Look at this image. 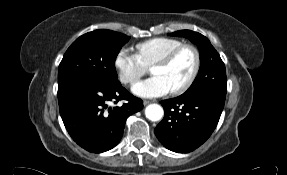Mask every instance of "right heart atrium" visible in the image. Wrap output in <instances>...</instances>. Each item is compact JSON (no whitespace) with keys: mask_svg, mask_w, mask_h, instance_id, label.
Returning a JSON list of instances; mask_svg holds the SVG:
<instances>
[{"mask_svg":"<svg viewBox=\"0 0 287 175\" xmlns=\"http://www.w3.org/2000/svg\"><path fill=\"white\" fill-rule=\"evenodd\" d=\"M114 64L120 81L128 85L137 82L148 71V66L144 64L140 56L125 47L118 51Z\"/></svg>","mask_w":287,"mask_h":175,"instance_id":"right-heart-atrium-1","label":"right heart atrium"}]
</instances>
